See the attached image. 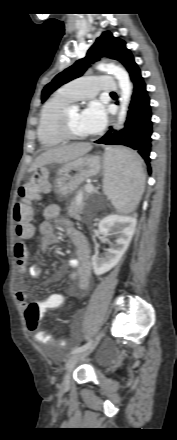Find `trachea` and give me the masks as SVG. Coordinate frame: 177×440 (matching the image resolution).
Segmentation results:
<instances>
[{"label":"trachea","mask_w":177,"mask_h":440,"mask_svg":"<svg viewBox=\"0 0 177 440\" xmlns=\"http://www.w3.org/2000/svg\"><path fill=\"white\" fill-rule=\"evenodd\" d=\"M111 95H115V92H111Z\"/></svg>","instance_id":"obj_1"}]
</instances>
